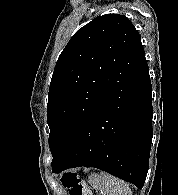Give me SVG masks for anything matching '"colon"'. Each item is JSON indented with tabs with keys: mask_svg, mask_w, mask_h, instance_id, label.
Here are the masks:
<instances>
[{
	"mask_svg": "<svg viewBox=\"0 0 178 195\" xmlns=\"http://www.w3.org/2000/svg\"><path fill=\"white\" fill-rule=\"evenodd\" d=\"M62 184L69 190V195H92L76 173H65Z\"/></svg>",
	"mask_w": 178,
	"mask_h": 195,
	"instance_id": "colon-1",
	"label": "colon"
}]
</instances>
